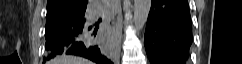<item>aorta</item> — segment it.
<instances>
[{
    "mask_svg": "<svg viewBox=\"0 0 242 64\" xmlns=\"http://www.w3.org/2000/svg\"><path fill=\"white\" fill-rule=\"evenodd\" d=\"M151 8V0H134V26L137 31L144 28Z\"/></svg>",
    "mask_w": 242,
    "mask_h": 64,
    "instance_id": "aorta-1",
    "label": "aorta"
}]
</instances>
